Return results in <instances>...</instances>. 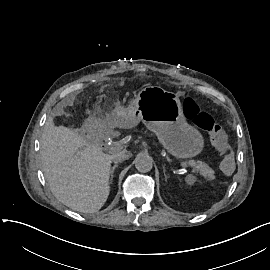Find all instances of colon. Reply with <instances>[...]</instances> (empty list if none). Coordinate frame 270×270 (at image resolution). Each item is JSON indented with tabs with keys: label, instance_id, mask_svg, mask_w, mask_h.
Wrapping results in <instances>:
<instances>
[{
	"label": "colon",
	"instance_id": "colon-1",
	"mask_svg": "<svg viewBox=\"0 0 270 270\" xmlns=\"http://www.w3.org/2000/svg\"><path fill=\"white\" fill-rule=\"evenodd\" d=\"M186 117L198 128L207 132L211 144L218 149L221 154L222 170L226 174H231L235 170L234 154L227 143V136L222 127L209 115L202 111L198 105L191 100H185L183 105Z\"/></svg>",
	"mask_w": 270,
	"mask_h": 270
}]
</instances>
